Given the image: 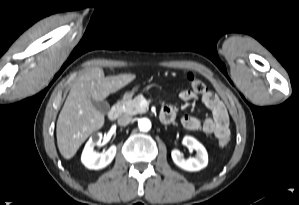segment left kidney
Here are the masks:
<instances>
[{
  "instance_id": "obj_1",
  "label": "left kidney",
  "mask_w": 299,
  "mask_h": 205,
  "mask_svg": "<svg viewBox=\"0 0 299 205\" xmlns=\"http://www.w3.org/2000/svg\"><path fill=\"white\" fill-rule=\"evenodd\" d=\"M183 143L189 149H194L197 152L196 157L185 159L179 150H173L171 153L174 163L186 171H199L207 166L208 154L205 147L192 136H185Z\"/></svg>"
}]
</instances>
